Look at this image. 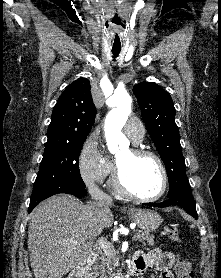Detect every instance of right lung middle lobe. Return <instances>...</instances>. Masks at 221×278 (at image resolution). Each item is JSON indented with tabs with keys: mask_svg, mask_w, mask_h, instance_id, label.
I'll list each match as a JSON object with an SVG mask.
<instances>
[{
	"mask_svg": "<svg viewBox=\"0 0 221 278\" xmlns=\"http://www.w3.org/2000/svg\"><path fill=\"white\" fill-rule=\"evenodd\" d=\"M86 138L46 144L32 196L60 182L85 185L79 171V155Z\"/></svg>",
	"mask_w": 221,
	"mask_h": 278,
	"instance_id": "obj_1",
	"label": "right lung middle lobe"
}]
</instances>
